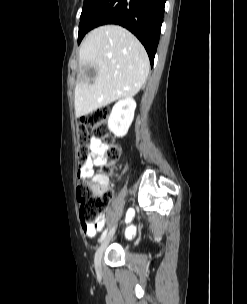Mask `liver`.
<instances>
[{
  "label": "liver",
  "mask_w": 247,
  "mask_h": 304,
  "mask_svg": "<svg viewBox=\"0 0 247 304\" xmlns=\"http://www.w3.org/2000/svg\"><path fill=\"white\" fill-rule=\"evenodd\" d=\"M80 73L75 87V115L81 117L116 100L136 95L149 73V59L140 41L118 25L91 31L79 50ZM92 67V84L85 69Z\"/></svg>",
  "instance_id": "6515ba94"
}]
</instances>
